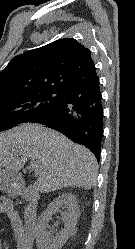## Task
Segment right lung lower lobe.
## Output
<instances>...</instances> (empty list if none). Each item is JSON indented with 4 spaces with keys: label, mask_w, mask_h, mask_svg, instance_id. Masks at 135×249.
Returning <instances> with one entry per match:
<instances>
[{
    "label": "right lung lower lobe",
    "mask_w": 135,
    "mask_h": 249,
    "mask_svg": "<svg viewBox=\"0 0 135 249\" xmlns=\"http://www.w3.org/2000/svg\"><path fill=\"white\" fill-rule=\"evenodd\" d=\"M35 122L55 129L78 144L86 146L99 161L103 138V107L99 77L75 84L60 99L31 117Z\"/></svg>",
    "instance_id": "obj_1"
}]
</instances>
